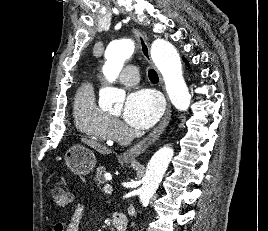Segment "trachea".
<instances>
[{
    "instance_id": "1",
    "label": "trachea",
    "mask_w": 268,
    "mask_h": 231,
    "mask_svg": "<svg viewBox=\"0 0 268 231\" xmlns=\"http://www.w3.org/2000/svg\"><path fill=\"white\" fill-rule=\"evenodd\" d=\"M148 77L151 81H158V75L153 69L148 71Z\"/></svg>"
}]
</instances>
